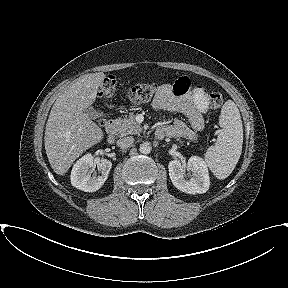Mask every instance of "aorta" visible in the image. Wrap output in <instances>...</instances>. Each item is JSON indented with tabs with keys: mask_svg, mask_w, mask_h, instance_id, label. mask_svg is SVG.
<instances>
[{
	"mask_svg": "<svg viewBox=\"0 0 288 288\" xmlns=\"http://www.w3.org/2000/svg\"><path fill=\"white\" fill-rule=\"evenodd\" d=\"M151 150H152V146L149 142H143L142 144H140L139 151L142 154H149Z\"/></svg>",
	"mask_w": 288,
	"mask_h": 288,
	"instance_id": "1",
	"label": "aorta"
}]
</instances>
